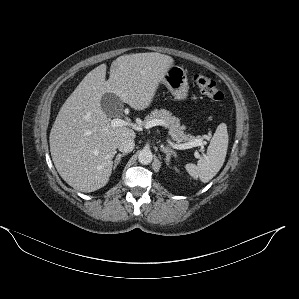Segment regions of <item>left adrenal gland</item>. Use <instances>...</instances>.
<instances>
[{
    "mask_svg": "<svg viewBox=\"0 0 299 299\" xmlns=\"http://www.w3.org/2000/svg\"><path fill=\"white\" fill-rule=\"evenodd\" d=\"M160 150L165 153L166 163H167V165H169L171 156L175 157V152L170 147H168V146L164 147L163 145L161 146Z\"/></svg>",
    "mask_w": 299,
    "mask_h": 299,
    "instance_id": "1",
    "label": "left adrenal gland"
}]
</instances>
